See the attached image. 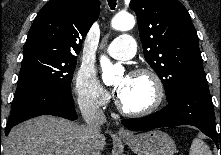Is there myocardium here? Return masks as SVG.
Here are the masks:
<instances>
[{"mask_svg":"<svg viewBox=\"0 0 221 155\" xmlns=\"http://www.w3.org/2000/svg\"><path fill=\"white\" fill-rule=\"evenodd\" d=\"M130 75H132V76L145 75V76H148L149 78H151V80L153 81L154 86H155L154 101L149 107H147L143 110L133 111V110H129V109L125 108L124 105L119 100V98H117L116 99V106H117L118 110L123 115L130 116V117H145V116L153 114L154 112H156L159 109V107L163 103L164 96H165L164 85H163V82H162L160 76L155 71H153L152 69H149V68L135 69L130 73Z\"/></svg>","mask_w":221,"mask_h":155,"instance_id":"myocardium-1","label":"myocardium"}]
</instances>
